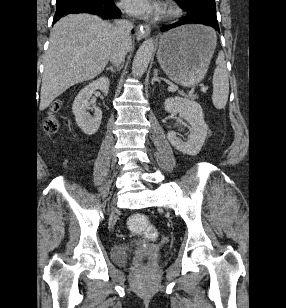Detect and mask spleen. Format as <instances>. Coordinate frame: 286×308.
<instances>
[{
  "mask_svg": "<svg viewBox=\"0 0 286 308\" xmlns=\"http://www.w3.org/2000/svg\"><path fill=\"white\" fill-rule=\"evenodd\" d=\"M217 67L213 75V95L212 102L216 109H223L228 101L229 80L226 69L225 56L222 51L218 53L216 60Z\"/></svg>",
  "mask_w": 286,
  "mask_h": 308,
  "instance_id": "1",
  "label": "spleen"
}]
</instances>
